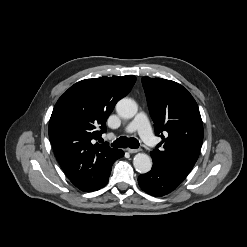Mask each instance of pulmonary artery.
<instances>
[{
  "label": "pulmonary artery",
  "mask_w": 247,
  "mask_h": 247,
  "mask_svg": "<svg viewBox=\"0 0 247 247\" xmlns=\"http://www.w3.org/2000/svg\"><path fill=\"white\" fill-rule=\"evenodd\" d=\"M125 131H137L142 140L149 147H155L157 144V139L151 130L148 118L143 112L137 114L133 121L125 128Z\"/></svg>",
  "instance_id": "obj_1"
}]
</instances>
